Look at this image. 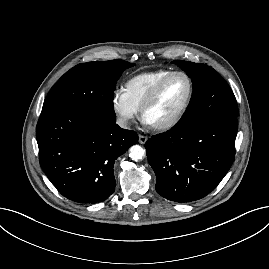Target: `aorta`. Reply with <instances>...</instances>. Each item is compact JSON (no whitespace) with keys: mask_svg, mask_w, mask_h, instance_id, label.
<instances>
[{"mask_svg":"<svg viewBox=\"0 0 269 269\" xmlns=\"http://www.w3.org/2000/svg\"><path fill=\"white\" fill-rule=\"evenodd\" d=\"M129 151V157L134 161L143 159L145 155V150L139 145H133Z\"/></svg>","mask_w":269,"mask_h":269,"instance_id":"762f6f07","label":"aorta"}]
</instances>
